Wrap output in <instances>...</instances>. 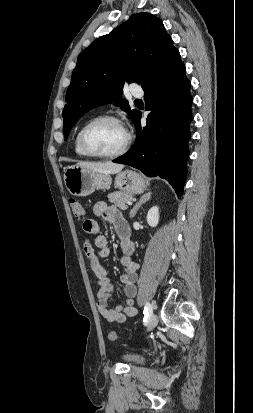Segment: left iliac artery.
I'll return each instance as SVG.
<instances>
[{
	"label": "left iliac artery",
	"instance_id": "left-iliac-artery-1",
	"mask_svg": "<svg viewBox=\"0 0 253 413\" xmlns=\"http://www.w3.org/2000/svg\"><path fill=\"white\" fill-rule=\"evenodd\" d=\"M152 313H153L152 305L149 302H147L144 307L145 320L150 319Z\"/></svg>",
	"mask_w": 253,
	"mask_h": 413
}]
</instances>
